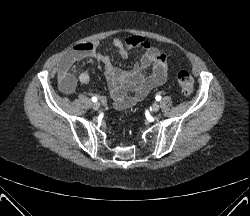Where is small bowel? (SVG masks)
I'll return each instance as SVG.
<instances>
[{
	"instance_id": "small-bowel-1",
	"label": "small bowel",
	"mask_w": 250,
	"mask_h": 216,
	"mask_svg": "<svg viewBox=\"0 0 250 216\" xmlns=\"http://www.w3.org/2000/svg\"><path fill=\"white\" fill-rule=\"evenodd\" d=\"M113 46L122 58L129 56L135 48L142 52V58L130 70H123L112 65L108 55L98 51L94 42L81 43L64 53L58 60V82L60 90L71 94L77 82L87 85L90 76L82 72L78 77L73 72L75 62L86 57L95 58L101 66L111 87V98L117 109L124 110L142 100L155 87L162 85L169 77L167 56L141 37L126 40L115 39ZM147 71H149L147 73Z\"/></svg>"
}]
</instances>
